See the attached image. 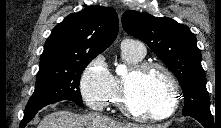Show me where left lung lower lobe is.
Returning a JSON list of instances; mask_svg holds the SVG:
<instances>
[{
	"label": "left lung lower lobe",
	"instance_id": "1",
	"mask_svg": "<svg viewBox=\"0 0 221 128\" xmlns=\"http://www.w3.org/2000/svg\"><path fill=\"white\" fill-rule=\"evenodd\" d=\"M197 121H199L205 128H214L216 127V121L214 123L213 116H203V115H190Z\"/></svg>",
	"mask_w": 221,
	"mask_h": 128
}]
</instances>
